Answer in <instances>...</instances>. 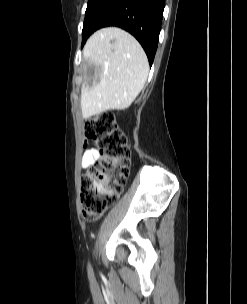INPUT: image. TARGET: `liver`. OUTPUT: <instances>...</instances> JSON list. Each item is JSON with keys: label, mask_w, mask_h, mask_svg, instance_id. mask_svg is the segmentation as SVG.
Masks as SVG:
<instances>
[{"label": "liver", "mask_w": 247, "mask_h": 304, "mask_svg": "<svg viewBox=\"0 0 247 304\" xmlns=\"http://www.w3.org/2000/svg\"><path fill=\"white\" fill-rule=\"evenodd\" d=\"M83 59L96 67L99 76L98 83L82 86L84 119L129 107L147 80L149 64L143 48L132 35L116 27L95 32L84 46Z\"/></svg>", "instance_id": "1"}]
</instances>
